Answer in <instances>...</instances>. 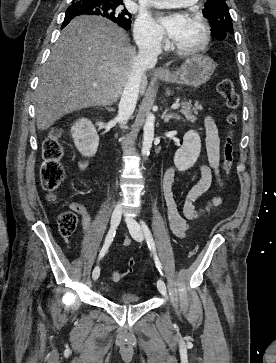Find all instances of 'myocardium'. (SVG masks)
Returning <instances> with one entry per match:
<instances>
[{
	"instance_id": "myocardium-1",
	"label": "myocardium",
	"mask_w": 276,
	"mask_h": 363,
	"mask_svg": "<svg viewBox=\"0 0 276 363\" xmlns=\"http://www.w3.org/2000/svg\"><path fill=\"white\" fill-rule=\"evenodd\" d=\"M188 16L201 25L203 30V37L201 42L193 47H182L173 43V49L183 56H192L203 52L207 48L211 40V30L207 19L201 13L196 11H189Z\"/></svg>"
}]
</instances>
